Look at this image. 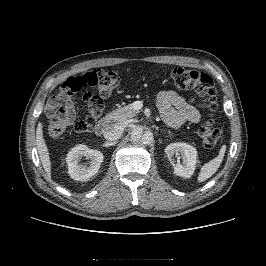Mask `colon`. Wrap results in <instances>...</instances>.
Returning <instances> with one entry per match:
<instances>
[{
	"label": "colon",
	"instance_id": "1",
	"mask_svg": "<svg viewBox=\"0 0 266 266\" xmlns=\"http://www.w3.org/2000/svg\"><path fill=\"white\" fill-rule=\"evenodd\" d=\"M171 79L174 86L182 90H194L203 98V105L208 118L198 129V136L206 148H213L220 139V131L213 124L212 116L217 110V94L212 78L194 69L176 67L171 71ZM119 85L118 75L111 70L88 71L68 79L59 95L50 99L46 110L48 115V134L51 137L61 136L67 123L58 116V108L64 95L82 90L85 86L96 87L98 95L84 93L82 100L87 110L82 117H73L71 125L77 131H88L95 124L100 115L104 100L111 97Z\"/></svg>",
	"mask_w": 266,
	"mask_h": 266
}]
</instances>
